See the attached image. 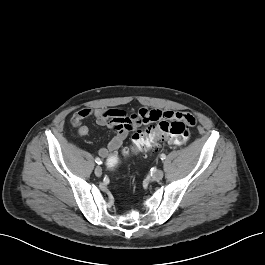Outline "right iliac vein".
Segmentation results:
<instances>
[{
  "mask_svg": "<svg viewBox=\"0 0 265 265\" xmlns=\"http://www.w3.org/2000/svg\"><path fill=\"white\" fill-rule=\"evenodd\" d=\"M94 172H95V175L96 176L100 177L102 175V169H101V167L97 166L95 168V171Z\"/></svg>",
  "mask_w": 265,
  "mask_h": 265,
  "instance_id": "63e3f726",
  "label": "right iliac vein"
}]
</instances>
